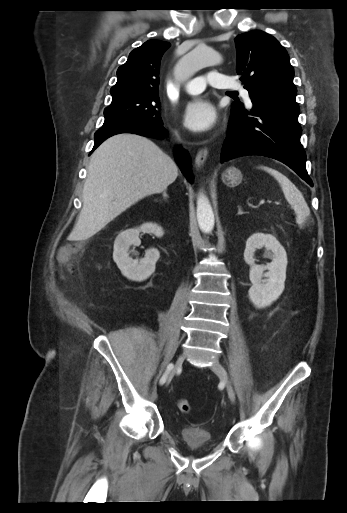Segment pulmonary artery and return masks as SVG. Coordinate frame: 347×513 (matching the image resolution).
<instances>
[{"label": "pulmonary artery", "mask_w": 347, "mask_h": 513, "mask_svg": "<svg viewBox=\"0 0 347 513\" xmlns=\"http://www.w3.org/2000/svg\"><path fill=\"white\" fill-rule=\"evenodd\" d=\"M207 85H211L219 89L239 90L247 102H250L251 100L248 90L243 88L238 82L234 81L232 78L224 74H221L217 71H210L205 76H198L190 80L185 85V90L189 94H199L205 90Z\"/></svg>", "instance_id": "1"}]
</instances>
